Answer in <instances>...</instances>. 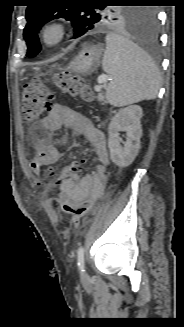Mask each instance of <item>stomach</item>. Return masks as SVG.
<instances>
[{"instance_id": "stomach-1", "label": "stomach", "mask_w": 184, "mask_h": 327, "mask_svg": "<svg viewBox=\"0 0 184 327\" xmlns=\"http://www.w3.org/2000/svg\"><path fill=\"white\" fill-rule=\"evenodd\" d=\"M102 55L100 46H89L83 48L71 61L68 69L79 74H88L98 66Z\"/></svg>"}]
</instances>
